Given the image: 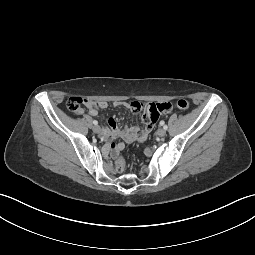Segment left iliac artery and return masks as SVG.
I'll list each match as a JSON object with an SVG mask.
<instances>
[{
	"instance_id": "obj_1",
	"label": "left iliac artery",
	"mask_w": 255,
	"mask_h": 255,
	"mask_svg": "<svg viewBox=\"0 0 255 255\" xmlns=\"http://www.w3.org/2000/svg\"><path fill=\"white\" fill-rule=\"evenodd\" d=\"M163 128H164L165 130H167V129H168V126H167V125H164Z\"/></svg>"
}]
</instances>
